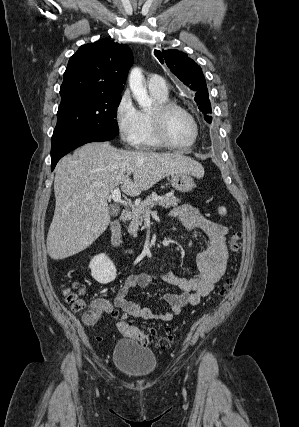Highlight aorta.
<instances>
[{"instance_id": "obj_1", "label": "aorta", "mask_w": 299, "mask_h": 427, "mask_svg": "<svg viewBox=\"0 0 299 427\" xmlns=\"http://www.w3.org/2000/svg\"><path fill=\"white\" fill-rule=\"evenodd\" d=\"M129 86L140 107L148 108L152 105V100L148 96L147 88L144 84V76L141 68L135 67L131 70Z\"/></svg>"}]
</instances>
